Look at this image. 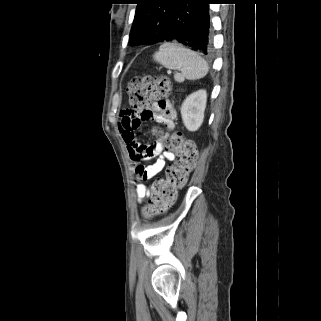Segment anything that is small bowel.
<instances>
[{"label":"small bowel","mask_w":321,"mask_h":321,"mask_svg":"<svg viewBox=\"0 0 321 321\" xmlns=\"http://www.w3.org/2000/svg\"><path fill=\"white\" fill-rule=\"evenodd\" d=\"M175 119L176 110L171 102L166 99H160L143 110H125L121 113L119 131L134 164V174L138 181L136 193L139 202L150 195V187L145 182L150 181L160 173L167 162H172L175 159V154L165 149L164 140L166 136L157 139L153 144H142L138 141L135 132L142 121L150 120H154L172 130ZM153 134H159L157 128L153 129ZM151 159H155V161L146 164Z\"/></svg>","instance_id":"1"}]
</instances>
